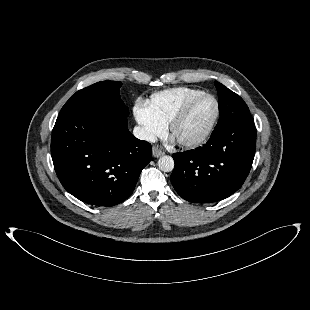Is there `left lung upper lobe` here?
Instances as JSON below:
<instances>
[{"label": "left lung upper lobe", "mask_w": 310, "mask_h": 310, "mask_svg": "<svg viewBox=\"0 0 310 310\" xmlns=\"http://www.w3.org/2000/svg\"><path fill=\"white\" fill-rule=\"evenodd\" d=\"M218 97L220 119L214 130L249 115V109L243 99L219 82H215Z\"/></svg>", "instance_id": "left-lung-upper-lobe-1"}]
</instances>
